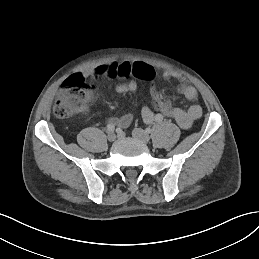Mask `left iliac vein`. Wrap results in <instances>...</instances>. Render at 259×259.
<instances>
[{
    "mask_svg": "<svg viewBox=\"0 0 259 259\" xmlns=\"http://www.w3.org/2000/svg\"><path fill=\"white\" fill-rule=\"evenodd\" d=\"M132 136L143 143H148L150 141L149 134L140 128H134L132 131Z\"/></svg>",
    "mask_w": 259,
    "mask_h": 259,
    "instance_id": "1",
    "label": "left iliac vein"
}]
</instances>
